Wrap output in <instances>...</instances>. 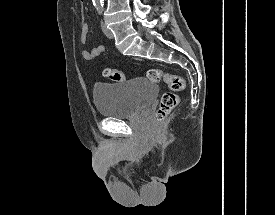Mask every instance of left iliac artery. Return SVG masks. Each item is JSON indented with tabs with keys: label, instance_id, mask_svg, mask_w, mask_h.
<instances>
[{
	"label": "left iliac artery",
	"instance_id": "44dca946",
	"mask_svg": "<svg viewBox=\"0 0 275 215\" xmlns=\"http://www.w3.org/2000/svg\"><path fill=\"white\" fill-rule=\"evenodd\" d=\"M97 10L99 13H102V11H103L102 7H98Z\"/></svg>",
	"mask_w": 275,
	"mask_h": 215
}]
</instances>
